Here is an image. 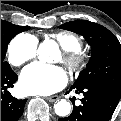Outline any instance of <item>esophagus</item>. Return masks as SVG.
I'll use <instances>...</instances> for the list:
<instances>
[{
    "label": "esophagus",
    "mask_w": 121,
    "mask_h": 121,
    "mask_svg": "<svg viewBox=\"0 0 121 121\" xmlns=\"http://www.w3.org/2000/svg\"><path fill=\"white\" fill-rule=\"evenodd\" d=\"M49 102H54L59 99L58 95L50 96L46 98Z\"/></svg>",
    "instance_id": "obj_1"
}]
</instances>
